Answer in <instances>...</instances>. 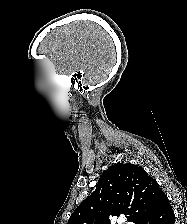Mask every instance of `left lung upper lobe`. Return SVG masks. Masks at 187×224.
<instances>
[{"mask_svg":"<svg viewBox=\"0 0 187 224\" xmlns=\"http://www.w3.org/2000/svg\"><path fill=\"white\" fill-rule=\"evenodd\" d=\"M160 191L156 180L143 168L115 164L103 172L96 190L75 209L67 224H110V218L120 214L142 224Z\"/></svg>","mask_w":187,"mask_h":224,"instance_id":"1","label":"left lung upper lobe"}]
</instances>
